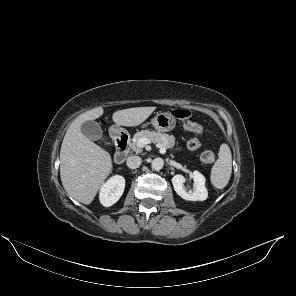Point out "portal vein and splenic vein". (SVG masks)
<instances>
[{
    "label": "portal vein and splenic vein",
    "instance_id": "obj_1",
    "mask_svg": "<svg viewBox=\"0 0 296 296\" xmlns=\"http://www.w3.org/2000/svg\"><path fill=\"white\" fill-rule=\"evenodd\" d=\"M150 143V140L146 139V138H141L139 141H138V146L143 148L145 147L147 144ZM166 152V149L164 147H161L160 148V153H165Z\"/></svg>",
    "mask_w": 296,
    "mask_h": 296
}]
</instances>
